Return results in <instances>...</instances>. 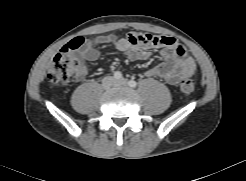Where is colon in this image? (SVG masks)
I'll list each match as a JSON object with an SVG mask.
<instances>
[{
    "label": "colon",
    "mask_w": 246,
    "mask_h": 181,
    "mask_svg": "<svg viewBox=\"0 0 246 181\" xmlns=\"http://www.w3.org/2000/svg\"><path fill=\"white\" fill-rule=\"evenodd\" d=\"M157 40L158 36L141 34L138 41L147 44L150 42H157ZM82 43V37H76L55 55L47 71V79L52 85L62 86L70 79L78 76L81 68V61L73 56L71 51L78 49ZM180 90L185 94L193 93L195 90L194 81L192 79L182 80L180 83Z\"/></svg>",
    "instance_id": "obj_1"
}]
</instances>
